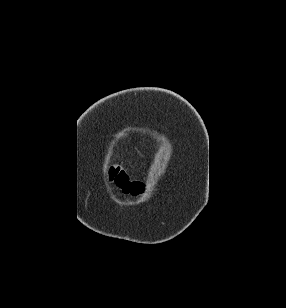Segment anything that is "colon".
<instances>
[{
    "label": "colon",
    "instance_id": "1",
    "mask_svg": "<svg viewBox=\"0 0 286 308\" xmlns=\"http://www.w3.org/2000/svg\"><path fill=\"white\" fill-rule=\"evenodd\" d=\"M109 180L125 193L138 194L143 190L140 181L132 180L127 173L117 167H111L108 171Z\"/></svg>",
    "mask_w": 286,
    "mask_h": 308
}]
</instances>
